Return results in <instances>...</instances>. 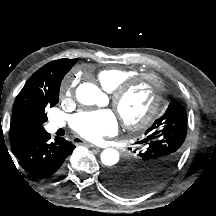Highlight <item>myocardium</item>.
Returning a JSON list of instances; mask_svg holds the SVG:
<instances>
[{"label": "myocardium", "instance_id": "f54148a6", "mask_svg": "<svg viewBox=\"0 0 216 216\" xmlns=\"http://www.w3.org/2000/svg\"><path fill=\"white\" fill-rule=\"evenodd\" d=\"M144 80L149 81L153 86V99L145 114H143L141 117L137 119H127L123 116L122 112L120 111L121 101L131 89H133L135 86H137L140 82ZM164 90L165 88L163 82L159 78V76H157L154 73H141L127 79L119 86H117L111 92V103L120 115L126 128L137 130L143 129L151 123V121L154 119L155 115L159 111L163 99Z\"/></svg>", "mask_w": 216, "mask_h": 216}]
</instances>
